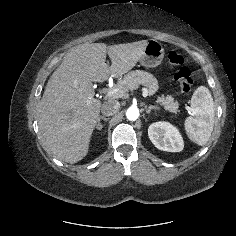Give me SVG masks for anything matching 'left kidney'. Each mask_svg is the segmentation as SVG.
<instances>
[{
	"label": "left kidney",
	"mask_w": 236,
	"mask_h": 236,
	"mask_svg": "<svg viewBox=\"0 0 236 236\" xmlns=\"http://www.w3.org/2000/svg\"><path fill=\"white\" fill-rule=\"evenodd\" d=\"M148 135L159 150L180 152L183 150V139L176 127L168 122H156L149 126Z\"/></svg>",
	"instance_id": "5707ae66"
}]
</instances>
